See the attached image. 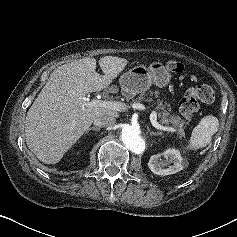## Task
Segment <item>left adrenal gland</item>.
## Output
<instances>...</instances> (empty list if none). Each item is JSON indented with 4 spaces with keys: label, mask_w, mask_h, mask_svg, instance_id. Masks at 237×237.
<instances>
[{
    "label": "left adrenal gland",
    "mask_w": 237,
    "mask_h": 237,
    "mask_svg": "<svg viewBox=\"0 0 237 237\" xmlns=\"http://www.w3.org/2000/svg\"><path fill=\"white\" fill-rule=\"evenodd\" d=\"M150 135H154V136H157V135H162V133L161 132H150Z\"/></svg>",
    "instance_id": "left-adrenal-gland-1"
}]
</instances>
